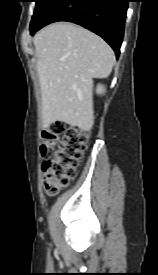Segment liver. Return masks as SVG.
Listing matches in <instances>:
<instances>
[{"label":"liver","instance_id":"6515ba94","mask_svg":"<svg viewBox=\"0 0 158 275\" xmlns=\"http://www.w3.org/2000/svg\"><path fill=\"white\" fill-rule=\"evenodd\" d=\"M42 97V123L55 121L90 131L94 123L93 78H106L115 64L111 47L70 23H54L34 37Z\"/></svg>","mask_w":158,"mask_h":275}]
</instances>
